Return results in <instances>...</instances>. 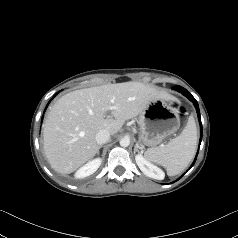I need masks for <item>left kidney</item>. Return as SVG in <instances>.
<instances>
[{
    "label": "left kidney",
    "instance_id": "5707ae66",
    "mask_svg": "<svg viewBox=\"0 0 238 238\" xmlns=\"http://www.w3.org/2000/svg\"><path fill=\"white\" fill-rule=\"evenodd\" d=\"M135 160L140 170L146 176L159 180L164 178L163 171L147 161L141 154L136 155Z\"/></svg>",
    "mask_w": 238,
    "mask_h": 238
}]
</instances>
